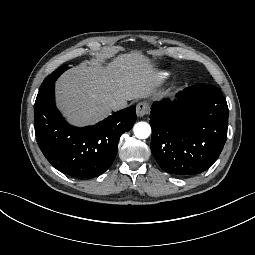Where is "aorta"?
<instances>
[{"instance_id": "762f6f07", "label": "aorta", "mask_w": 255, "mask_h": 255, "mask_svg": "<svg viewBox=\"0 0 255 255\" xmlns=\"http://www.w3.org/2000/svg\"><path fill=\"white\" fill-rule=\"evenodd\" d=\"M133 130H134L135 136L139 139H146L151 134V127L146 122L136 123Z\"/></svg>"}]
</instances>
